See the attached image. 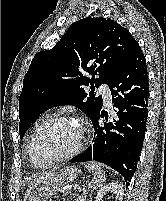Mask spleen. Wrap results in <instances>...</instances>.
I'll list each match as a JSON object with an SVG mask.
<instances>
[{
	"mask_svg": "<svg viewBox=\"0 0 166 201\" xmlns=\"http://www.w3.org/2000/svg\"><path fill=\"white\" fill-rule=\"evenodd\" d=\"M84 166L91 172H93V178L88 183V186L91 190L100 188L104 181H105V172L102 170V168L95 162H90L84 164ZM77 201H84V197H79Z\"/></svg>",
	"mask_w": 166,
	"mask_h": 201,
	"instance_id": "obj_1",
	"label": "spleen"
}]
</instances>
